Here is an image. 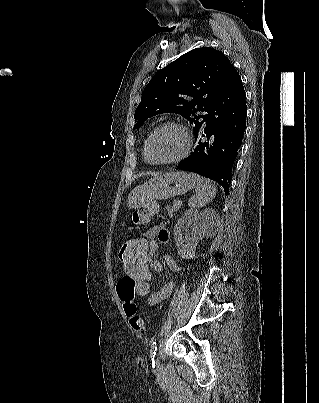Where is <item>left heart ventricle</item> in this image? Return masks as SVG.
I'll return each instance as SVG.
<instances>
[{
    "label": "left heart ventricle",
    "instance_id": "obj_1",
    "mask_svg": "<svg viewBox=\"0 0 319 403\" xmlns=\"http://www.w3.org/2000/svg\"><path fill=\"white\" fill-rule=\"evenodd\" d=\"M184 139L176 128H165L159 131L149 146V158L163 161L177 156L183 149Z\"/></svg>",
    "mask_w": 319,
    "mask_h": 403
}]
</instances>
